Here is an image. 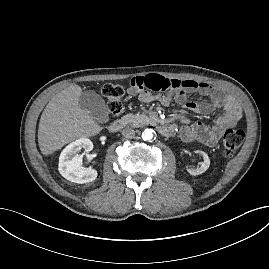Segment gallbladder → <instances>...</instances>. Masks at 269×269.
Segmentation results:
<instances>
[{"label":"gallbladder","instance_id":"obj_1","mask_svg":"<svg viewBox=\"0 0 269 269\" xmlns=\"http://www.w3.org/2000/svg\"><path fill=\"white\" fill-rule=\"evenodd\" d=\"M81 109L89 112L90 116L98 123L109 121V112L103 98L94 91L86 90L79 97Z\"/></svg>","mask_w":269,"mask_h":269}]
</instances>
